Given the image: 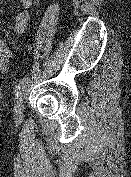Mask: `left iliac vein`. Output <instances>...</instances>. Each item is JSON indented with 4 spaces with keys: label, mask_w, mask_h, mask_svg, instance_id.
<instances>
[{
    "label": "left iliac vein",
    "mask_w": 131,
    "mask_h": 177,
    "mask_svg": "<svg viewBox=\"0 0 131 177\" xmlns=\"http://www.w3.org/2000/svg\"><path fill=\"white\" fill-rule=\"evenodd\" d=\"M25 89L26 87L24 86L22 91L19 93L15 107H14V117L15 118H21L23 114V104H24V99H25Z\"/></svg>",
    "instance_id": "left-iliac-vein-1"
}]
</instances>
